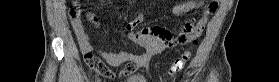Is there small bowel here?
<instances>
[{
	"mask_svg": "<svg viewBox=\"0 0 279 82\" xmlns=\"http://www.w3.org/2000/svg\"><path fill=\"white\" fill-rule=\"evenodd\" d=\"M73 5L76 6L77 2H74ZM194 7H201L198 17L193 15L175 33L160 26L134 31L135 27L142 21V17L127 23L126 29L129 31L131 39L145 49L141 54L125 51L111 53L95 49L90 43L89 36L86 33L80 17L72 21V28L81 52L84 55L85 62L90 68L97 71L101 76L113 77L114 74L109 70L106 64L118 66L126 62L127 65L122 72L125 75H131L138 67L147 65L153 57L161 54L166 49L193 42L196 37L202 33L208 18L218 9V3L208 4L204 7L203 2L189 1L176 5L171 10V14L177 16ZM100 65H102L103 68H101Z\"/></svg>",
	"mask_w": 279,
	"mask_h": 82,
	"instance_id": "1",
	"label": "small bowel"
}]
</instances>
